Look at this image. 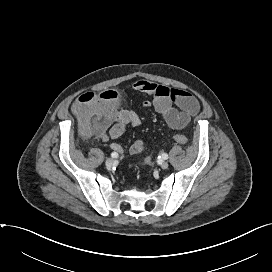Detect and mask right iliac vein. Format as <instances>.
<instances>
[{"label": "right iliac vein", "instance_id": "1", "mask_svg": "<svg viewBox=\"0 0 272 272\" xmlns=\"http://www.w3.org/2000/svg\"><path fill=\"white\" fill-rule=\"evenodd\" d=\"M105 165L107 168H111L114 165V160L111 158H108L105 162Z\"/></svg>", "mask_w": 272, "mask_h": 272}]
</instances>
